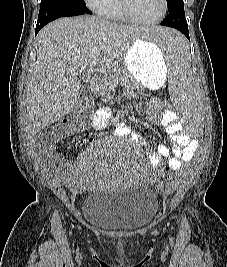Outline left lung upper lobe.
I'll list each match as a JSON object with an SVG mask.
<instances>
[{
    "label": "left lung upper lobe",
    "mask_w": 227,
    "mask_h": 267,
    "mask_svg": "<svg viewBox=\"0 0 227 267\" xmlns=\"http://www.w3.org/2000/svg\"><path fill=\"white\" fill-rule=\"evenodd\" d=\"M168 11L184 6L183 0H167Z\"/></svg>",
    "instance_id": "1"
}]
</instances>
